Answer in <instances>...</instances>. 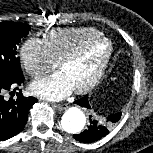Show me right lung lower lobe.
Here are the masks:
<instances>
[{"mask_svg":"<svg viewBox=\"0 0 153 153\" xmlns=\"http://www.w3.org/2000/svg\"><path fill=\"white\" fill-rule=\"evenodd\" d=\"M23 83L24 76L13 78L0 74V141L15 136L24 128L28 111L37 102L34 97H24L21 89L16 93V99L5 97L6 92L14 96L15 91Z\"/></svg>","mask_w":153,"mask_h":153,"instance_id":"right-lung-lower-lobe-1","label":"right lung lower lobe"}]
</instances>
